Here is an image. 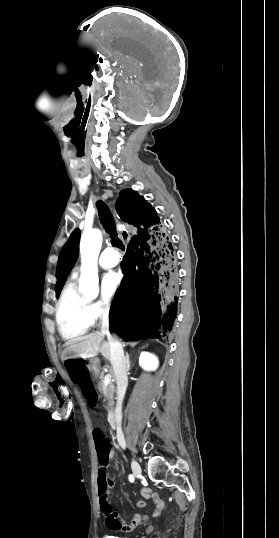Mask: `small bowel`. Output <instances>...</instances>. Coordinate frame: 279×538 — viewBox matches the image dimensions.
Instances as JSON below:
<instances>
[{
    "mask_svg": "<svg viewBox=\"0 0 279 538\" xmlns=\"http://www.w3.org/2000/svg\"><path fill=\"white\" fill-rule=\"evenodd\" d=\"M113 456V451L111 450V453H110V458ZM141 494L142 496L145 498V499H152L153 501V508H152V512L150 514H144V515H139V514H136L132 517L131 521L129 523H125L123 522L122 520L119 519V517L113 513L112 516L110 517H106V524L108 526V528H110L111 530H115V531H125V532H128V531H132L134 530L141 522H144L146 520H148L151 516H157L159 515L161 509H162V506H163V503H162V500L160 499V497L156 494H153L150 489L146 488V487H143L141 488ZM136 507L139 508V509H143L146 507V502L145 501H138L136 503Z\"/></svg>",
    "mask_w": 279,
    "mask_h": 538,
    "instance_id": "c3829d8e",
    "label": "small bowel"
}]
</instances>
